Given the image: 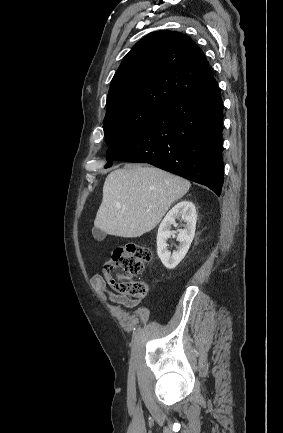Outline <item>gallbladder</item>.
I'll return each mask as SVG.
<instances>
[{"instance_id": "obj_1", "label": "gallbladder", "mask_w": 283, "mask_h": 433, "mask_svg": "<svg viewBox=\"0 0 283 433\" xmlns=\"http://www.w3.org/2000/svg\"><path fill=\"white\" fill-rule=\"evenodd\" d=\"M92 235H93L94 239H97V241H103V239H105L107 233H104V231H100V229H97V227H93Z\"/></svg>"}]
</instances>
